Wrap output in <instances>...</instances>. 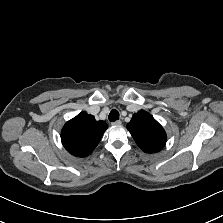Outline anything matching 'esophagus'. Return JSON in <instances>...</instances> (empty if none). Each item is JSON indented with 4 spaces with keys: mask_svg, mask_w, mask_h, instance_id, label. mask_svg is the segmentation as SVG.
Returning a JSON list of instances; mask_svg holds the SVG:
<instances>
[{
    "mask_svg": "<svg viewBox=\"0 0 223 223\" xmlns=\"http://www.w3.org/2000/svg\"><path fill=\"white\" fill-rule=\"evenodd\" d=\"M121 123H122V122H121L120 120H117V121L112 122L111 125H113V126H118V125H120Z\"/></svg>",
    "mask_w": 223,
    "mask_h": 223,
    "instance_id": "34e87169",
    "label": "esophagus"
}]
</instances>
